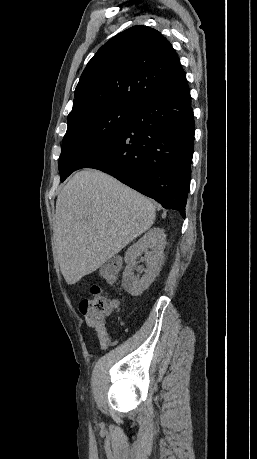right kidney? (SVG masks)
Instances as JSON below:
<instances>
[{"mask_svg":"<svg viewBox=\"0 0 257 459\" xmlns=\"http://www.w3.org/2000/svg\"><path fill=\"white\" fill-rule=\"evenodd\" d=\"M165 245L164 230L153 228L128 248L124 258L127 266L122 277V287L126 292L138 296L155 280L163 263ZM142 253H145L146 270L142 266L137 267V258ZM134 270L138 274H134ZM143 271L145 274L141 277L140 273Z\"/></svg>","mask_w":257,"mask_h":459,"instance_id":"ca27d5eb","label":"right kidney"}]
</instances>
